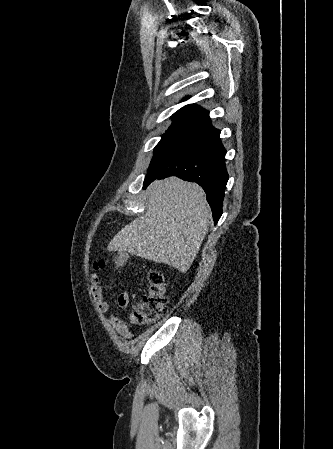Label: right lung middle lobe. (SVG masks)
Here are the masks:
<instances>
[{
  "label": "right lung middle lobe",
  "mask_w": 333,
  "mask_h": 449,
  "mask_svg": "<svg viewBox=\"0 0 333 449\" xmlns=\"http://www.w3.org/2000/svg\"><path fill=\"white\" fill-rule=\"evenodd\" d=\"M200 132L201 130L197 128L170 126L154 149L149 172L174 150Z\"/></svg>",
  "instance_id": "1"
}]
</instances>
